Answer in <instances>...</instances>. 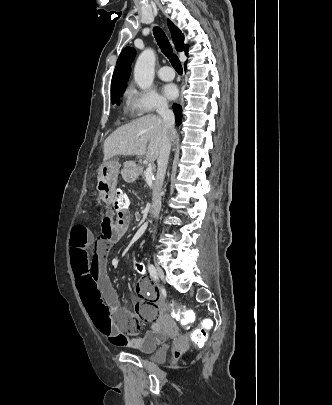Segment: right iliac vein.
I'll return each instance as SVG.
<instances>
[{"label":"right iliac vein","mask_w":332,"mask_h":405,"mask_svg":"<svg viewBox=\"0 0 332 405\" xmlns=\"http://www.w3.org/2000/svg\"><path fill=\"white\" fill-rule=\"evenodd\" d=\"M155 270H156L157 276L159 278H161V279L165 278L164 271L162 270V268L159 265H157V264L155 265Z\"/></svg>","instance_id":"right-iliac-vein-1"}]
</instances>
